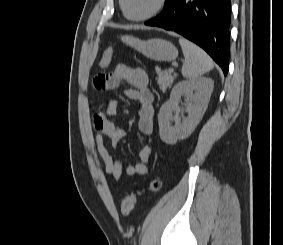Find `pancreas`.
Returning a JSON list of instances; mask_svg holds the SVG:
<instances>
[{"instance_id": "cf45deb5", "label": "pancreas", "mask_w": 283, "mask_h": 245, "mask_svg": "<svg viewBox=\"0 0 283 245\" xmlns=\"http://www.w3.org/2000/svg\"><path fill=\"white\" fill-rule=\"evenodd\" d=\"M172 73L173 72L169 71H157V84L159 85L162 91H166L168 88L171 87L172 82L174 80V75H172Z\"/></svg>"}]
</instances>
